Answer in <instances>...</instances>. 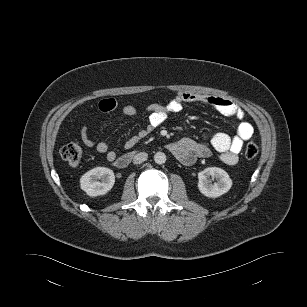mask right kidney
<instances>
[{"label": "right kidney", "mask_w": 307, "mask_h": 307, "mask_svg": "<svg viewBox=\"0 0 307 307\" xmlns=\"http://www.w3.org/2000/svg\"><path fill=\"white\" fill-rule=\"evenodd\" d=\"M114 183V172L106 167L93 168L80 178L81 189L91 197L105 195L112 189Z\"/></svg>", "instance_id": "obj_1"}]
</instances>
